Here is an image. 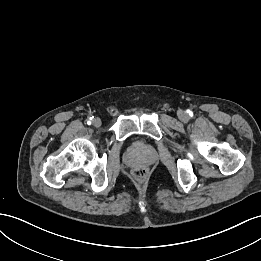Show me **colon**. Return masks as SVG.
Listing matches in <instances>:
<instances>
[{
    "label": "colon",
    "mask_w": 261,
    "mask_h": 261,
    "mask_svg": "<svg viewBox=\"0 0 261 261\" xmlns=\"http://www.w3.org/2000/svg\"><path fill=\"white\" fill-rule=\"evenodd\" d=\"M146 175V171L143 168H138L134 171V177L137 179H143Z\"/></svg>",
    "instance_id": "5ec220e1"
}]
</instances>
